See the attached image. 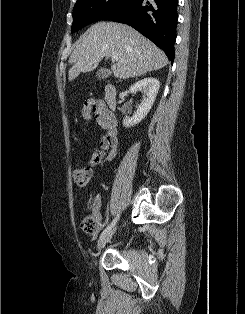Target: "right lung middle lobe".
Segmentation results:
<instances>
[{
    "label": "right lung middle lobe",
    "mask_w": 245,
    "mask_h": 314,
    "mask_svg": "<svg viewBox=\"0 0 245 314\" xmlns=\"http://www.w3.org/2000/svg\"><path fill=\"white\" fill-rule=\"evenodd\" d=\"M130 0H77L73 9L71 33L105 18Z\"/></svg>",
    "instance_id": "obj_1"
}]
</instances>
